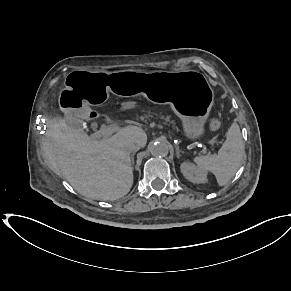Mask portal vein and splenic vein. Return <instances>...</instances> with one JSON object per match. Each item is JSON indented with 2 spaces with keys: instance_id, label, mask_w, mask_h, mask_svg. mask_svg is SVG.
I'll list each match as a JSON object with an SVG mask.
<instances>
[{
  "instance_id": "18ae733b",
  "label": "portal vein and splenic vein",
  "mask_w": 291,
  "mask_h": 291,
  "mask_svg": "<svg viewBox=\"0 0 291 291\" xmlns=\"http://www.w3.org/2000/svg\"><path fill=\"white\" fill-rule=\"evenodd\" d=\"M122 129L123 127L119 126L118 124H112L109 126L102 125L100 130H98L97 132L93 134V137L95 138L108 137V136H111L115 132H119ZM203 151L206 152L207 149L204 147Z\"/></svg>"
}]
</instances>
